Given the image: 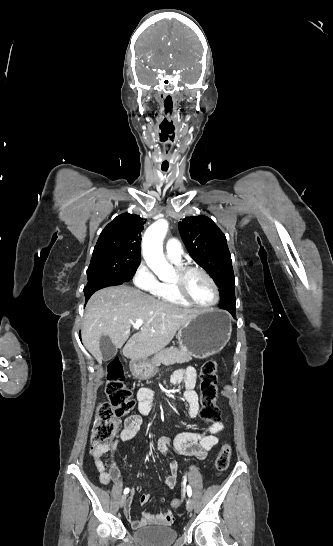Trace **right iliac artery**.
<instances>
[{"label":"right iliac artery","mask_w":333,"mask_h":546,"mask_svg":"<svg viewBox=\"0 0 333 546\" xmlns=\"http://www.w3.org/2000/svg\"><path fill=\"white\" fill-rule=\"evenodd\" d=\"M129 493V488H125L124 489V494H128Z\"/></svg>","instance_id":"82829eb1"}]
</instances>
